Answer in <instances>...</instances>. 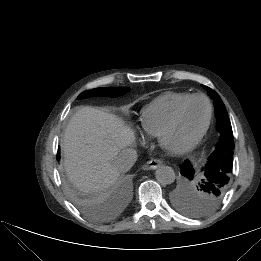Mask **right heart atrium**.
Here are the masks:
<instances>
[{"instance_id":"right-heart-atrium-1","label":"right heart atrium","mask_w":261,"mask_h":261,"mask_svg":"<svg viewBox=\"0 0 261 261\" xmlns=\"http://www.w3.org/2000/svg\"><path fill=\"white\" fill-rule=\"evenodd\" d=\"M143 144H146L147 142H148V140L147 139H145V138H142V141H141Z\"/></svg>"}]
</instances>
